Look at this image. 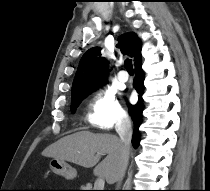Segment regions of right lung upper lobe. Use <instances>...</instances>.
I'll list each match as a JSON object with an SVG mask.
<instances>
[{
	"label": "right lung upper lobe",
	"instance_id": "right-lung-upper-lobe-1",
	"mask_svg": "<svg viewBox=\"0 0 210 191\" xmlns=\"http://www.w3.org/2000/svg\"><path fill=\"white\" fill-rule=\"evenodd\" d=\"M117 47L124 54L130 53L136 59L140 54L141 42L135 33L123 34ZM108 65L101 57L100 48L89 49L82 56L72 85V99L94 91L107 81Z\"/></svg>",
	"mask_w": 210,
	"mask_h": 191
}]
</instances>
